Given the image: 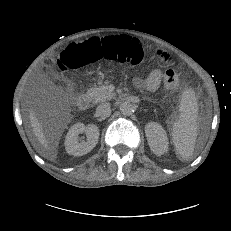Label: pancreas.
Segmentation results:
<instances>
[{"label": "pancreas", "instance_id": "cf45deb5", "mask_svg": "<svg viewBox=\"0 0 231 231\" xmlns=\"http://www.w3.org/2000/svg\"><path fill=\"white\" fill-rule=\"evenodd\" d=\"M87 95L93 103L103 102L115 98L116 94L109 91L106 85L88 89Z\"/></svg>", "mask_w": 231, "mask_h": 231}]
</instances>
